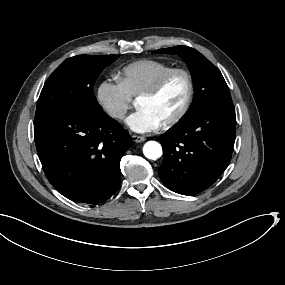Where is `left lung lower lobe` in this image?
I'll list each match as a JSON object with an SVG mask.
<instances>
[{
    "mask_svg": "<svg viewBox=\"0 0 285 285\" xmlns=\"http://www.w3.org/2000/svg\"><path fill=\"white\" fill-rule=\"evenodd\" d=\"M236 135L234 106H209L182 117L160 135L158 172L170 190L194 195L210 187L230 163Z\"/></svg>",
    "mask_w": 285,
    "mask_h": 285,
    "instance_id": "1",
    "label": "left lung lower lobe"
}]
</instances>
